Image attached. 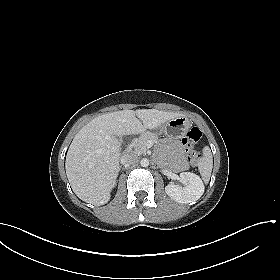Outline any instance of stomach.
<instances>
[{
    "mask_svg": "<svg viewBox=\"0 0 280 280\" xmlns=\"http://www.w3.org/2000/svg\"><path fill=\"white\" fill-rule=\"evenodd\" d=\"M190 127V121L184 117H176L167 121L163 127V133L170 138H180Z\"/></svg>",
    "mask_w": 280,
    "mask_h": 280,
    "instance_id": "0dacf381",
    "label": "stomach"
}]
</instances>
